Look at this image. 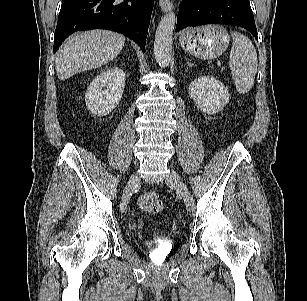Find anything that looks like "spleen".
<instances>
[{"instance_id": "1", "label": "spleen", "mask_w": 307, "mask_h": 301, "mask_svg": "<svg viewBox=\"0 0 307 301\" xmlns=\"http://www.w3.org/2000/svg\"><path fill=\"white\" fill-rule=\"evenodd\" d=\"M233 45L229 67L236 89L246 94L253 86L257 73V53L253 43L240 32L232 31Z\"/></svg>"}]
</instances>
